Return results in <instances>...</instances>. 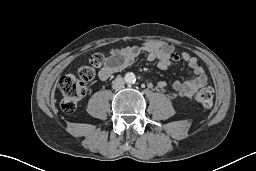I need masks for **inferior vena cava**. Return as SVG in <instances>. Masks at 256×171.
Returning a JSON list of instances; mask_svg holds the SVG:
<instances>
[{
    "mask_svg": "<svg viewBox=\"0 0 256 171\" xmlns=\"http://www.w3.org/2000/svg\"><path fill=\"white\" fill-rule=\"evenodd\" d=\"M125 85V81L122 77L117 76L115 80L112 82V88L113 89H121Z\"/></svg>",
    "mask_w": 256,
    "mask_h": 171,
    "instance_id": "602c4592",
    "label": "inferior vena cava"
}]
</instances>
